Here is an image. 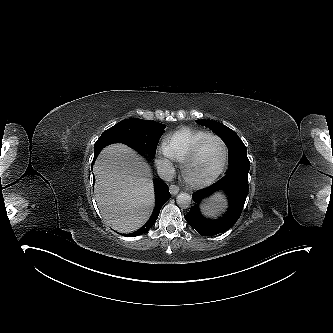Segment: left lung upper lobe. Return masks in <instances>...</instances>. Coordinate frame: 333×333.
<instances>
[{"mask_svg":"<svg viewBox=\"0 0 333 333\" xmlns=\"http://www.w3.org/2000/svg\"><path fill=\"white\" fill-rule=\"evenodd\" d=\"M197 123L211 128L222 138L230 153L227 174L224 178L248 179L250 163L247 158V149L238 135L227 126L211 120H197Z\"/></svg>","mask_w":333,"mask_h":333,"instance_id":"left-lung-upper-lobe-1","label":"left lung upper lobe"}]
</instances>
